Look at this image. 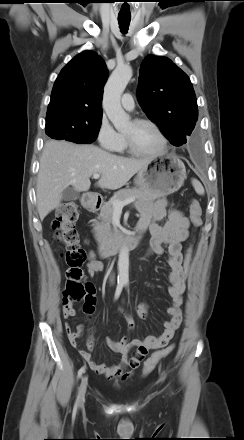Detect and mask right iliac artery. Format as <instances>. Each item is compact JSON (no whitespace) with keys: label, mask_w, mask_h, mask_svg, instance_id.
<instances>
[{"label":"right iliac artery","mask_w":244,"mask_h":440,"mask_svg":"<svg viewBox=\"0 0 244 440\" xmlns=\"http://www.w3.org/2000/svg\"><path fill=\"white\" fill-rule=\"evenodd\" d=\"M123 286H124L123 282H118L117 287H116V291H115V296H114L115 300L119 298V296L122 292ZM85 368L86 367L83 366L78 371V375H77L78 379L82 377V374L85 372ZM77 406H78V399L76 400L75 405H74V409H73L74 413H76V411H77Z\"/></svg>","instance_id":"82829eb1"}]
</instances>
